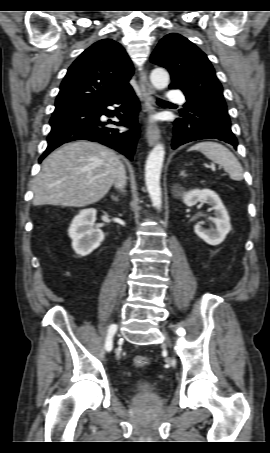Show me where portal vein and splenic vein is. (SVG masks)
Returning a JSON list of instances; mask_svg holds the SVG:
<instances>
[{"label": "portal vein and splenic vein", "instance_id": "obj_1", "mask_svg": "<svg viewBox=\"0 0 270 453\" xmlns=\"http://www.w3.org/2000/svg\"><path fill=\"white\" fill-rule=\"evenodd\" d=\"M211 168H213V169H214V168H215V165H213V164H212V165H211Z\"/></svg>", "mask_w": 270, "mask_h": 453}]
</instances>
